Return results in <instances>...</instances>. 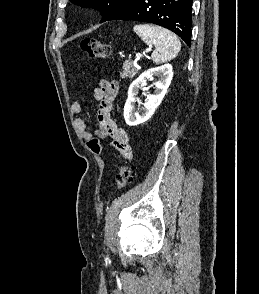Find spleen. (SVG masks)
<instances>
[{
	"mask_svg": "<svg viewBox=\"0 0 259 294\" xmlns=\"http://www.w3.org/2000/svg\"><path fill=\"white\" fill-rule=\"evenodd\" d=\"M133 31L147 44L154 45L152 59L156 64L175 58L181 49L179 39L169 30L149 24H139Z\"/></svg>",
	"mask_w": 259,
	"mask_h": 294,
	"instance_id": "3e777b00",
	"label": "spleen"
}]
</instances>
